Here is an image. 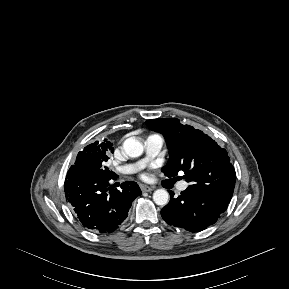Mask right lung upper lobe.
<instances>
[{"label":"right lung upper lobe","mask_w":289,"mask_h":289,"mask_svg":"<svg viewBox=\"0 0 289 289\" xmlns=\"http://www.w3.org/2000/svg\"><path fill=\"white\" fill-rule=\"evenodd\" d=\"M104 144H110V145H112L110 142H108L106 139L104 140V142H103Z\"/></svg>","instance_id":"obj_1"}]
</instances>
